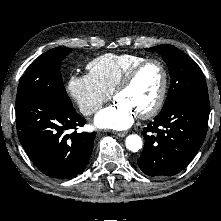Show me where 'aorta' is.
I'll return each mask as SVG.
<instances>
[{"mask_svg":"<svg viewBox=\"0 0 221 221\" xmlns=\"http://www.w3.org/2000/svg\"><path fill=\"white\" fill-rule=\"evenodd\" d=\"M125 146L132 152H138L142 147V139L137 134H131L126 137Z\"/></svg>","mask_w":221,"mask_h":221,"instance_id":"762f6f07","label":"aorta"}]
</instances>
